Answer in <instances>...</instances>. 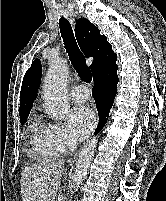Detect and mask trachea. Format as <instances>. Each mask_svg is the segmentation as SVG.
Listing matches in <instances>:
<instances>
[{
  "mask_svg": "<svg viewBox=\"0 0 166 201\" xmlns=\"http://www.w3.org/2000/svg\"><path fill=\"white\" fill-rule=\"evenodd\" d=\"M59 27L66 52L71 59V63L78 72L79 77L85 82H91V71L86 65V60L76 43L71 24L67 19L62 17L59 20Z\"/></svg>",
  "mask_w": 166,
  "mask_h": 201,
  "instance_id": "trachea-1",
  "label": "trachea"
}]
</instances>
